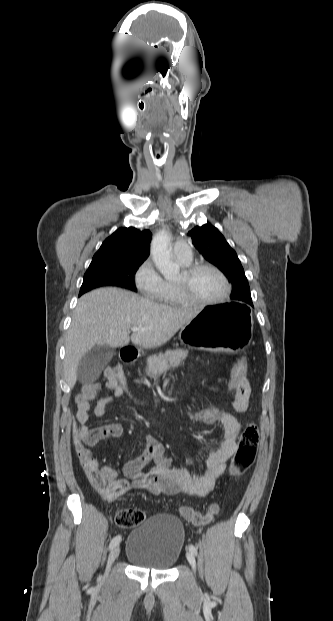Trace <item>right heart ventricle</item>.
<instances>
[{"label":"right heart ventricle","instance_id":"right-heart-ventricle-1","mask_svg":"<svg viewBox=\"0 0 333 621\" xmlns=\"http://www.w3.org/2000/svg\"><path fill=\"white\" fill-rule=\"evenodd\" d=\"M182 266H188L190 262H183L178 259ZM157 300L165 305L177 306L186 302L180 297L174 281L164 280L163 288Z\"/></svg>","mask_w":333,"mask_h":621}]
</instances>
